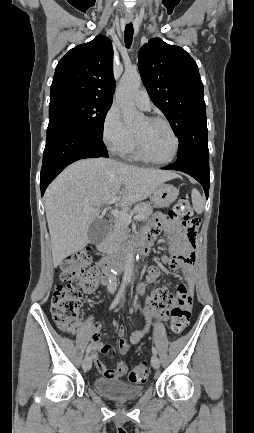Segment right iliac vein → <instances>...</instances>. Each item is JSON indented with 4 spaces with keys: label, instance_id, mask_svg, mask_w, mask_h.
Listing matches in <instances>:
<instances>
[{
    "label": "right iliac vein",
    "instance_id": "right-iliac-vein-1",
    "mask_svg": "<svg viewBox=\"0 0 254 433\" xmlns=\"http://www.w3.org/2000/svg\"><path fill=\"white\" fill-rule=\"evenodd\" d=\"M92 366V360L90 356H86L83 360L82 367L85 371H89Z\"/></svg>",
    "mask_w": 254,
    "mask_h": 433
}]
</instances>
